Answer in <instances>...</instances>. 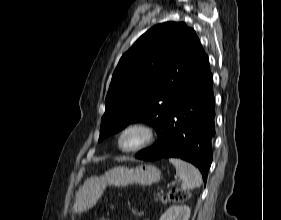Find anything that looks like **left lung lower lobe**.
Returning <instances> with one entry per match:
<instances>
[{"label": "left lung lower lobe", "instance_id": "0a47b994", "mask_svg": "<svg viewBox=\"0 0 281 220\" xmlns=\"http://www.w3.org/2000/svg\"><path fill=\"white\" fill-rule=\"evenodd\" d=\"M174 99V106L157 133V143L138 152L135 158H181L199 168L206 183L215 135L213 76L207 55L182 81Z\"/></svg>", "mask_w": 281, "mask_h": 220}]
</instances>
